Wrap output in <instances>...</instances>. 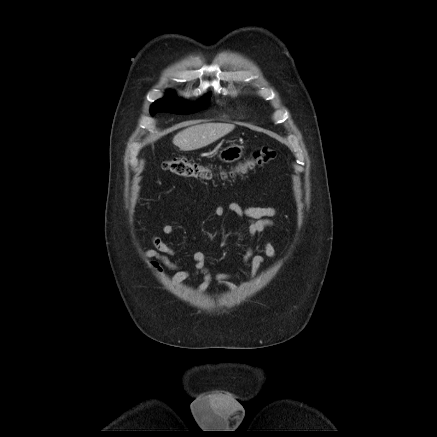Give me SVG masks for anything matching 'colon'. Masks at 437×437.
Here are the masks:
<instances>
[{"instance_id": "colon-1", "label": "colon", "mask_w": 437, "mask_h": 437, "mask_svg": "<svg viewBox=\"0 0 437 437\" xmlns=\"http://www.w3.org/2000/svg\"><path fill=\"white\" fill-rule=\"evenodd\" d=\"M278 158V152L270 147L262 146L254 150L252 155L236 165L222 169L219 172L221 178L245 173L255 166L267 165ZM165 171L181 177L211 179L215 176L213 170L204 164L193 162L186 158H172L163 162Z\"/></svg>"}]
</instances>
